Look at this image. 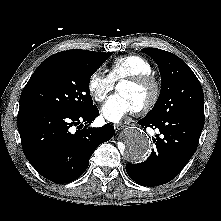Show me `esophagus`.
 <instances>
[{"label": "esophagus", "mask_w": 221, "mask_h": 221, "mask_svg": "<svg viewBox=\"0 0 221 221\" xmlns=\"http://www.w3.org/2000/svg\"><path fill=\"white\" fill-rule=\"evenodd\" d=\"M125 126L123 124H115L114 125V128H115V131H120L124 128Z\"/></svg>", "instance_id": "obj_1"}]
</instances>
